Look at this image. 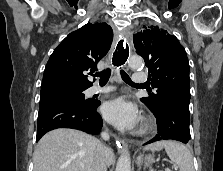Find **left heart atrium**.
<instances>
[{"label":"left heart atrium","instance_id":"obj_1","mask_svg":"<svg viewBox=\"0 0 223 171\" xmlns=\"http://www.w3.org/2000/svg\"><path fill=\"white\" fill-rule=\"evenodd\" d=\"M102 114L108 122L123 130L135 128L139 120L136 106L122 97L105 102Z\"/></svg>","mask_w":223,"mask_h":171}]
</instances>
